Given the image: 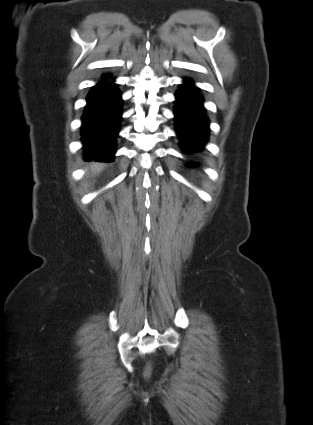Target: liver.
Returning <instances> with one entry per match:
<instances>
[{
	"mask_svg": "<svg viewBox=\"0 0 313 425\" xmlns=\"http://www.w3.org/2000/svg\"><path fill=\"white\" fill-rule=\"evenodd\" d=\"M103 165L102 164H98V163H93L90 166V169L93 171H100L102 169Z\"/></svg>",
	"mask_w": 313,
	"mask_h": 425,
	"instance_id": "1",
	"label": "liver"
}]
</instances>
